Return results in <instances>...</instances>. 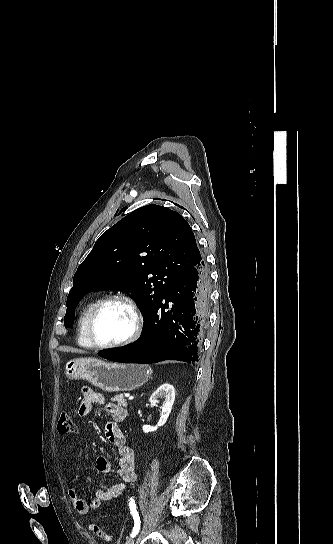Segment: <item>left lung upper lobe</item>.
Listing matches in <instances>:
<instances>
[{"instance_id": "obj_1", "label": "left lung upper lobe", "mask_w": 333, "mask_h": 544, "mask_svg": "<svg viewBox=\"0 0 333 544\" xmlns=\"http://www.w3.org/2000/svg\"><path fill=\"white\" fill-rule=\"evenodd\" d=\"M200 258L194 234L180 214L158 205L141 207L104 232L78 267L64 325L72 327L84 295L106 289L130 291L147 315Z\"/></svg>"}]
</instances>
